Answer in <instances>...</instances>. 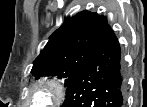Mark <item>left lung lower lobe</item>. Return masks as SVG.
Wrapping results in <instances>:
<instances>
[{"label": "left lung lower lobe", "mask_w": 147, "mask_h": 107, "mask_svg": "<svg viewBox=\"0 0 147 107\" xmlns=\"http://www.w3.org/2000/svg\"><path fill=\"white\" fill-rule=\"evenodd\" d=\"M124 87L120 44L111 30L67 86L61 107H124Z\"/></svg>", "instance_id": "obj_1"}]
</instances>
